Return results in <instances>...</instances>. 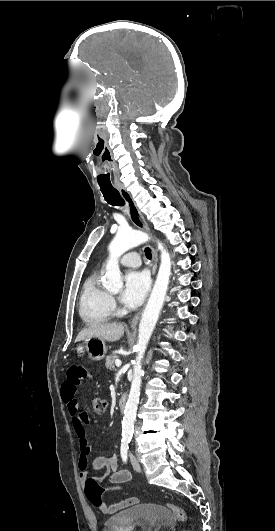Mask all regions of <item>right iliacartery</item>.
<instances>
[{
	"instance_id": "right-iliac-artery-1",
	"label": "right iliac artery",
	"mask_w": 275,
	"mask_h": 531,
	"mask_svg": "<svg viewBox=\"0 0 275 531\" xmlns=\"http://www.w3.org/2000/svg\"><path fill=\"white\" fill-rule=\"evenodd\" d=\"M128 443H129V441H127V440H124V439L121 440L120 453H121L122 460L124 462L127 461V453H128V449H129Z\"/></svg>"
}]
</instances>
